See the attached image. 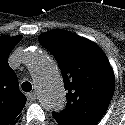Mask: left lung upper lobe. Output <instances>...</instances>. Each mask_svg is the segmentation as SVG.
<instances>
[{
    "label": "left lung upper lobe",
    "instance_id": "left-lung-upper-lobe-1",
    "mask_svg": "<svg viewBox=\"0 0 125 125\" xmlns=\"http://www.w3.org/2000/svg\"><path fill=\"white\" fill-rule=\"evenodd\" d=\"M39 42L60 67L66 108L53 112L59 125H96L105 114L114 93V73L102 50L92 41L64 30L39 36Z\"/></svg>",
    "mask_w": 125,
    "mask_h": 125
}]
</instances>
